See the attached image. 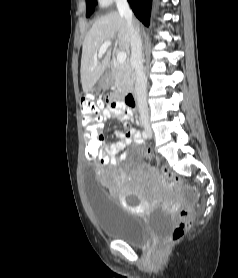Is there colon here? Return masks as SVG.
Here are the masks:
<instances>
[{
  "label": "colon",
  "instance_id": "5ec220e1",
  "mask_svg": "<svg viewBox=\"0 0 238 278\" xmlns=\"http://www.w3.org/2000/svg\"><path fill=\"white\" fill-rule=\"evenodd\" d=\"M81 113L80 125H84L86 131L83 137L82 149L84 159H97L101 156L103 141V119L100 118L102 114L103 102L101 99L92 94H86L81 98ZM162 175L165 180L169 181L173 188L181 191L180 196L186 197L189 187L185 186L184 178L178 177V174H173L168 168H162ZM188 200L184 199L177 207L176 215L177 221L172 230L167 234V241L174 243L179 241L191 227L192 215Z\"/></svg>",
  "mask_w": 238,
  "mask_h": 278
}]
</instances>
